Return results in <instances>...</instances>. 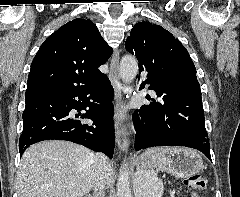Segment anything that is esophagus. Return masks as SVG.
I'll return each instance as SVG.
<instances>
[{"mask_svg":"<svg viewBox=\"0 0 240 197\" xmlns=\"http://www.w3.org/2000/svg\"><path fill=\"white\" fill-rule=\"evenodd\" d=\"M119 59L120 50L116 49L113 53L110 62V74L109 79L114 89V102H115V135L118 148L122 152H127L129 147V141L127 139V131L125 126L121 123V109L123 108V94L121 83L119 79Z\"/></svg>","mask_w":240,"mask_h":197,"instance_id":"esophagus-1","label":"esophagus"}]
</instances>
